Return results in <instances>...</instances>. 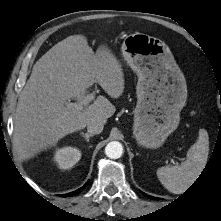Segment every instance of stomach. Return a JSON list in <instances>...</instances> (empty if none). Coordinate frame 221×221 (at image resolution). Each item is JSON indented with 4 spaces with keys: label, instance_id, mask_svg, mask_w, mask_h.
<instances>
[{
    "label": "stomach",
    "instance_id": "0dacf381",
    "mask_svg": "<svg viewBox=\"0 0 221 221\" xmlns=\"http://www.w3.org/2000/svg\"><path fill=\"white\" fill-rule=\"evenodd\" d=\"M121 52L138 76L134 137L140 146L158 148L178 127L187 99L185 77L169 47L158 38L130 34Z\"/></svg>",
    "mask_w": 221,
    "mask_h": 221
}]
</instances>
